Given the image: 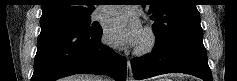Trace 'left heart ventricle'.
Instances as JSON below:
<instances>
[{
    "instance_id": "obj_1",
    "label": "left heart ventricle",
    "mask_w": 237,
    "mask_h": 81,
    "mask_svg": "<svg viewBox=\"0 0 237 81\" xmlns=\"http://www.w3.org/2000/svg\"><path fill=\"white\" fill-rule=\"evenodd\" d=\"M142 41H143V36H142L141 41L139 42V44H141Z\"/></svg>"
}]
</instances>
